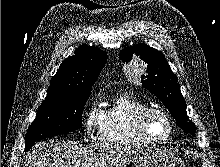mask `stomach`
I'll return each instance as SVG.
<instances>
[{
	"label": "stomach",
	"instance_id": "1",
	"mask_svg": "<svg viewBox=\"0 0 220 167\" xmlns=\"http://www.w3.org/2000/svg\"><path fill=\"white\" fill-rule=\"evenodd\" d=\"M115 167H185L178 156L159 148L129 147Z\"/></svg>",
	"mask_w": 220,
	"mask_h": 167
}]
</instances>
